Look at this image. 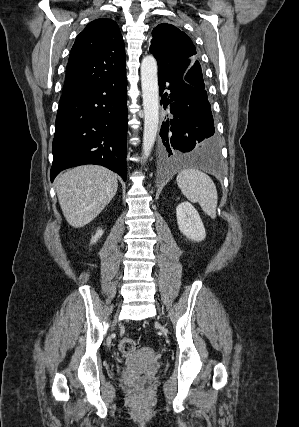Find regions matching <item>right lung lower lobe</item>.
<instances>
[{
    "label": "right lung lower lobe",
    "instance_id": "right-lung-lower-lobe-1",
    "mask_svg": "<svg viewBox=\"0 0 299 427\" xmlns=\"http://www.w3.org/2000/svg\"><path fill=\"white\" fill-rule=\"evenodd\" d=\"M126 70L85 88L64 93L59 102L50 178L83 164L102 165L124 181L127 140Z\"/></svg>",
    "mask_w": 299,
    "mask_h": 427
}]
</instances>
